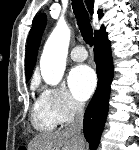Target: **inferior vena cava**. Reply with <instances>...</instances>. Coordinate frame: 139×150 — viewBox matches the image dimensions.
Wrapping results in <instances>:
<instances>
[{"instance_id": "602c4592", "label": "inferior vena cava", "mask_w": 139, "mask_h": 150, "mask_svg": "<svg viewBox=\"0 0 139 150\" xmlns=\"http://www.w3.org/2000/svg\"><path fill=\"white\" fill-rule=\"evenodd\" d=\"M76 117L67 130L72 133L76 138H80V132L83 128V118H84V104L77 102L75 104Z\"/></svg>"}]
</instances>
